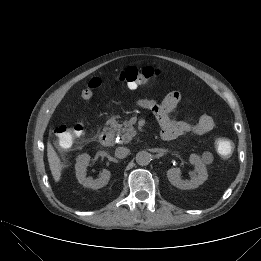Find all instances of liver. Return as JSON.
<instances>
[{"label":"liver","instance_id":"1","mask_svg":"<svg viewBox=\"0 0 261 261\" xmlns=\"http://www.w3.org/2000/svg\"><path fill=\"white\" fill-rule=\"evenodd\" d=\"M47 157L52 176L55 182H59L61 179L62 171L61 160L50 142H48L47 144Z\"/></svg>","mask_w":261,"mask_h":261}]
</instances>
